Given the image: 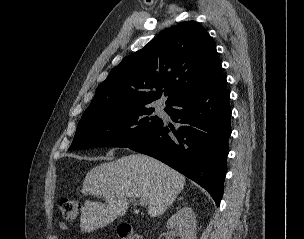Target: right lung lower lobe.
Returning <instances> with one entry per match:
<instances>
[{
  "label": "right lung lower lobe",
  "mask_w": 304,
  "mask_h": 239,
  "mask_svg": "<svg viewBox=\"0 0 304 239\" xmlns=\"http://www.w3.org/2000/svg\"><path fill=\"white\" fill-rule=\"evenodd\" d=\"M164 110L177 123L176 128L162 121L155 131L128 148L192 179L219 206L231 135L229 93L222 71L200 88L180 95Z\"/></svg>",
  "instance_id": "98d812e1"
}]
</instances>
